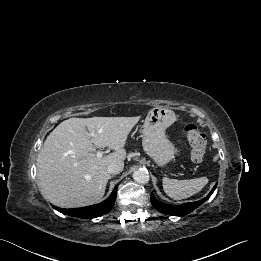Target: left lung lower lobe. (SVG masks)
<instances>
[{
	"instance_id": "0a47b994",
	"label": "left lung lower lobe",
	"mask_w": 261,
	"mask_h": 261,
	"mask_svg": "<svg viewBox=\"0 0 261 261\" xmlns=\"http://www.w3.org/2000/svg\"><path fill=\"white\" fill-rule=\"evenodd\" d=\"M217 185V184H216ZM216 185L213 187V189L210 191V193L203 199L196 201V202H189V203H183L181 205H168L166 203L160 202L157 200L153 194H151V203L153 207L158 210L160 213L167 214V215H174V216H183L186 214H189L193 210H195L198 206H200L203 202L209 199V197L214 192Z\"/></svg>"
}]
</instances>
